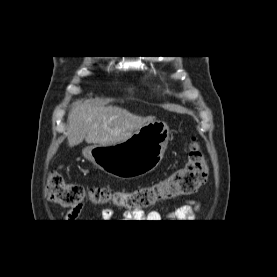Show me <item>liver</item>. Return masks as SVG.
Instances as JSON below:
<instances>
[{
	"instance_id": "1",
	"label": "liver",
	"mask_w": 277,
	"mask_h": 277,
	"mask_svg": "<svg viewBox=\"0 0 277 277\" xmlns=\"http://www.w3.org/2000/svg\"><path fill=\"white\" fill-rule=\"evenodd\" d=\"M155 117H140L115 106H102L91 101H77L68 114V145L85 140L88 144L112 145L123 142Z\"/></svg>"
}]
</instances>
